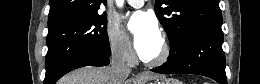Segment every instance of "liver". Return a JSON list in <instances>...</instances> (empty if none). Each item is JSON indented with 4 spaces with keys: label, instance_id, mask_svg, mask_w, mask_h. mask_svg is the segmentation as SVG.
<instances>
[{
    "label": "liver",
    "instance_id": "obj_1",
    "mask_svg": "<svg viewBox=\"0 0 260 84\" xmlns=\"http://www.w3.org/2000/svg\"><path fill=\"white\" fill-rule=\"evenodd\" d=\"M155 74H143L136 78L117 75L109 67H83L65 75L59 84H146L157 78Z\"/></svg>",
    "mask_w": 260,
    "mask_h": 84
}]
</instances>
